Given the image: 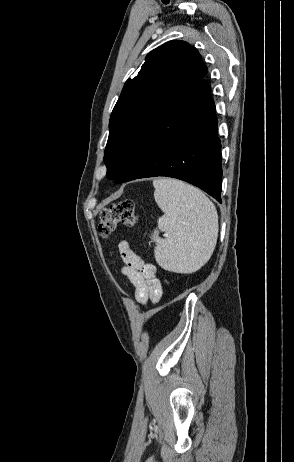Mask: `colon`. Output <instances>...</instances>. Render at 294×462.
I'll return each instance as SVG.
<instances>
[{
  "mask_svg": "<svg viewBox=\"0 0 294 462\" xmlns=\"http://www.w3.org/2000/svg\"><path fill=\"white\" fill-rule=\"evenodd\" d=\"M136 223L135 205L130 199H125L101 210L98 231L101 236L107 237L120 225L133 227Z\"/></svg>",
  "mask_w": 294,
  "mask_h": 462,
  "instance_id": "obj_1",
  "label": "colon"
}]
</instances>
